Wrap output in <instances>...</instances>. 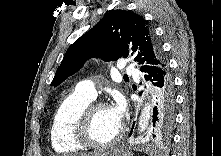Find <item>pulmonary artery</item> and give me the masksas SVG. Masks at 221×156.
Masks as SVG:
<instances>
[{
    "label": "pulmonary artery",
    "instance_id": "obj_1",
    "mask_svg": "<svg viewBox=\"0 0 221 156\" xmlns=\"http://www.w3.org/2000/svg\"><path fill=\"white\" fill-rule=\"evenodd\" d=\"M120 69L127 74H133L135 72V69L132 65H128L125 63L120 66ZM76 90L90 97L91 99H94L96 97L95 84L92 80H83L79 82Z\"/></svg>",
    "mask_w": 221,
    "mask_h": 156
}]
</instances>
